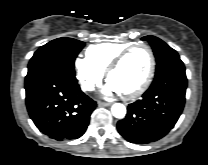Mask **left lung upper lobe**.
<instances>
[{
	"label": "left lung upper lobe",
	"instance_id": "left-lung-upper-lobe-1",
	"mask_svg": "<svg viewBox=\"0 0 208 165\" xmlns=\"http://www.w3.org/2000/svg\"><path fill=\"white\" fill-rule=\"evenodd\" d=\"M142 40H147L152 46L156 57V73L163 71L169 66L183 64L178 53L165 42L155 36H145Z\"/></svg>",
	"mask_w": 208,
	"mask_h": 165
}]
</instances>
